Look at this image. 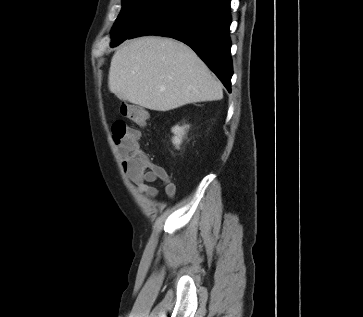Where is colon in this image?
<instances>
[{
  "label": "colon",
  "instance_id": "1",
  "mask_svg": "<svg viewBox=\"0 0 363 317\" xmlns=\"http://www.w3.org/2000/svg\"><path fill=\"white\" fill-rule=\"evenodd\" d=\"M122 119L116 120L112 125V140L118 147L119 154L125 167L140 169L144 166L146 158L139 151L140 132L137 128L130 127L125 120L134 122L137 126H145L148 114L145 109L123 103L120 106Z\"/></svg>",
  "mask_w": 363,
  "mask_h": 317
}]
</instances>
